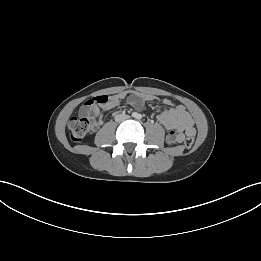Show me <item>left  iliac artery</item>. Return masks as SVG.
I'll return each instance as SVG.
<instances>
[{"label": "left iliac artery", "mask_w": 261, "mask_h": 261, "mask_svg": "<svg viewBox=\"0 0 261 261\" xmlns=\"http://www.w3.org/2000/svg\"><path fill=\"white\" fill-rule=\"evenodd\" d=\"M137 118H138V119H141V118H142V116L139 114V115L137 116Z\"/></svg>", "instance_id": "1"}]
</instances>
